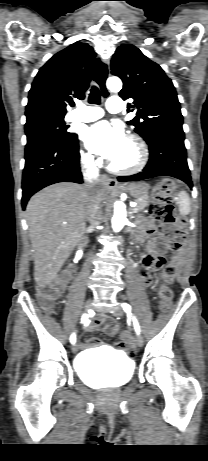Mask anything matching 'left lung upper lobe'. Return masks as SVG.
<instances>
[{
  "label": "left lung upper lobe",
  "mask_w": 208,
  "mask_h": 461,
  "mask_svg": "<svg viewBox=\"0 0 208 461\" xmlns=\"http://www.w3.org/2000/svg\"><path fill=\"white\" fill-rule=\"evenodd\" d=\"M111 73L124 83L121 98H132L128 112L137 109L128 121L147 143L166 131L183 132V116L175 87L163 69L131 44H122L111 59Z\"/></svg>",
  "instance_id": "obj_1"
}]
</instances>
